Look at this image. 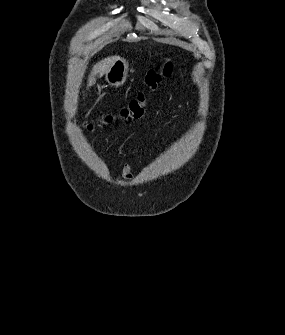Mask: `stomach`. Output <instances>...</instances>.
Returning <instances> with one entry per match:
<instances>
[{
  "label": "stomach",
  "instance_id": "1",
  "mask_svg": "<svg viewBox=\"0 0 285 335\" xmlns=\"http://www.w3.org/2000/svg\"><path fill=\"white\" fill-rule=\"evenodd\" d=\"M129 64L125 58H117L114 64L110 66L108 72L105 74V80L110 86H123L127 80Z\"/></svg>",
  "mask_w": 285,
  "mask_h": 335
}]
</instances>
